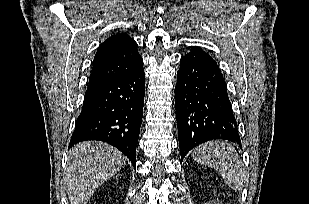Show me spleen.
Returning a JSON list of instances; mask_svg holds the SVG:
<instances>
[{
	"mask_svg": "<svg viewBox=\"0 0 309 204\" xmlns=\"http://www.w3.org/2000/svg\"><path fill=\"white\" fill-rule=\"evenodd\" d=\"M192 158L199 164L216 169L234 190L245 180V169L235 148L224 141H211L196 147Z\"/></svg>",
	"mask_w": 309,
	"mask_h": 204,
	"instance_id": "1",
	"label": "spleen"
}]
</instances>
